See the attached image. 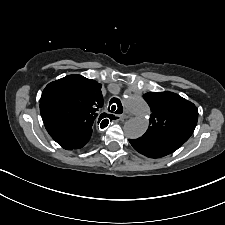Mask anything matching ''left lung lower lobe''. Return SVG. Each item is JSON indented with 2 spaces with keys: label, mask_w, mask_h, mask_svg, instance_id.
<instances>
[{
  "label": "left lung lower lobe",
  "mask_w": 225,
  "mask_h": 225,
  "mask_svg": "<svg viewBox=\"0 0 225 225\" xmlns=\"http://www.w3.org/2000/svg\"><path fill=\"white\" fill-rule=\"evenodd\" d=\"M132 147L142 155L149 158H161L176 151L182 146V142L154 140L145 137L130 139Z\"/></svg>",
  "instance_id": "left-lung-lower-lobe-1"
}]
</instances>
